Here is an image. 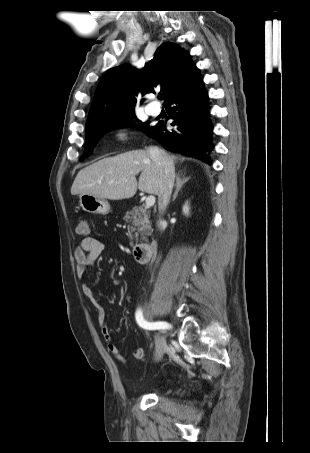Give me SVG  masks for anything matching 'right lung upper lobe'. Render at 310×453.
I'll use <instances>...</instances> for the list:
<instances>
[{"instance_id":"1","label":"right lung upper lobe","mask_w":310,"mask_h":453,"mask_svg":"<svg viewBox=\"0 0 310 453\" xmlns=\"http://www.w3.org/2000/svg\"><path fill=\"white\" fill-rule=\"evenodd\" d=\"M195 69L190 55L170 42L159 46L154 58L141 70L127 64L111 68L99 82L86 129L132 113L130 104H136L138 92H154L159 85L166 101Z\"/></svg>"}]
</instances>
